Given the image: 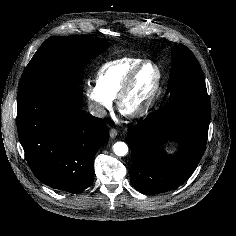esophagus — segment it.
I'll return each instance as SVG.
<instances>
[{"mask_svg":"<svg viewBox=\"0 0 236 236\" xmlns=\"http://www.w3.org/2000/svg\"><path fill=\"white\" fill-rule=\"evenodd\" d=\"M110 137L115 138L118 135V131L114 128L110 129L109 131Z\"/></svg>","mask_w":236,"mask_h":236,"instance_id":"1","label":"esophagus"}]
</instances>
